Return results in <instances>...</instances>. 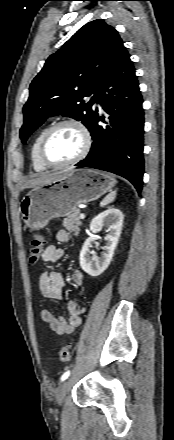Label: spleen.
I'll use <instances>...</instances> for the list:
<instances>
[{
  "mask_svg": "<svg viewBox=\"0 0 174 440\" xmlns=\"http://www.w3.org/2000/svg\"><path fill=\"white\" fill-rule=\"evenodd\" d=\"M115 197H116V191H113L103 199L100 205L104 206L107 205L108 203H111L112 201H114Z\"/></svg>",
  "mask_w": 174,
  "mask_h": 440,
  "instance_id": "spleen-1",
  "label": "spleen"
}]
</instances>
